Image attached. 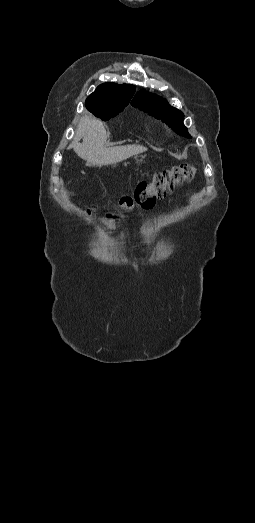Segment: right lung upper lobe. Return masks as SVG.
<instances>
[{"mask_svg": "<svg viewBox=\"0 0 255 523\" xmlns=\"http://www.w3.org/2000/svg\"><path fill=\"white\" fill-rule=\"evenodd\" d=\"M135 87L133 85L116 83H104L96 88V90L86 99V107L96 104L130 102Z\"/></svg>", "mask_w": 255, "mask_h": 523, "instance_id": "1", "label": "right lung upper lobe"}]
</instances>
